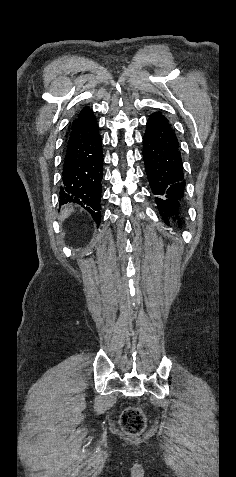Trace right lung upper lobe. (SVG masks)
<instances>
[{
  "label": "right lung upper lobe",
  "mask_w": 236,
  "mask_h": 477,
  "mask_svg": "<svg viewBox=\"0 0 236 477\" xmlns=\"http://www.w3.org/2000/svg\"><path fill=\"white\" fill-rule=\"evenodd\" d=\"M89 112H91V110H89L88 107L83 108L79 113L78 118L73 121L71 128L77 125Z\"/></svg>",
  "instance_id": "1"
}]
</instances>
